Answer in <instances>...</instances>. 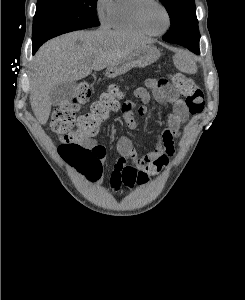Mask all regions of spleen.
I'll return each instance as SVG.
<instances>
[{"label":"spleen","mask_w":245,"mask_h":300,"mask_svg":"<svg viewBox=\"0 0 245 300\" xmlns=\"http://www.w3.org/2000/svg\"><path fill=\"white\" fill-rule=\"evenodd\" d=\"M180 70L190 74H195L197 72V67L192 56H185L183 64L180 66Z\"/></svg>","instance_id":"1"}]
</instances>
